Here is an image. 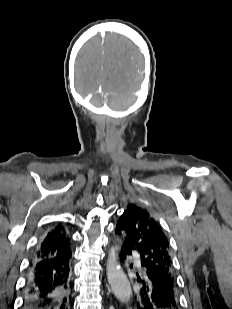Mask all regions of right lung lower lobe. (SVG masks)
<instances>
[{
    "label": "right lung lower lobe",
    "instance_id": "1",
    "mask_svg": "<svg viewBox=\"0 0 232 309\" xmlns=\"http://www.w3.org/2000/svg\"><path fill=\"white\" fill-rule=\"evenodd\" d=\"M32 259L24 291L25 309H70V259Z\"/></svg>",
    "mask_w": 232,
    "mask_h": 309
}]
</instances>
